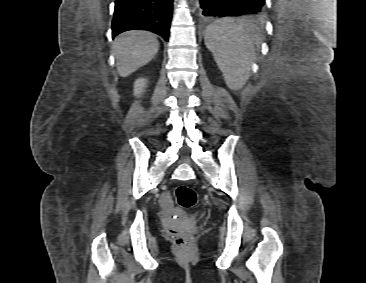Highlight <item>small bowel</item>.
I'll return each instance as SVG.
<instances>
[{"label":"small bowel","instance_id":"small-bowel-1","mask_svg":"<svg viewBox=\"0 0 366 283\" xmlns=\"http://www.w3.org/2000/svg\"><path fill=\"white\" fill-rule=\"evenodd\" d=\"M161 202L165 207H168L171 203L168 193H163L161 196Z\"/></svg>","mask_w":366,"mask_h":283}]
</instances>
